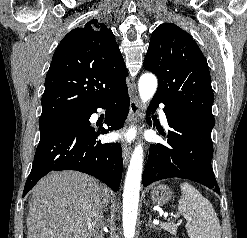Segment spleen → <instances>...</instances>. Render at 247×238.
<instances>
[{"label":"spleen","instance_id":"3e777b00","mask_svg":"<svg viewBox=\"0 0 247 238\" xmlns=\"http://www.w3.org/2000/svg\"><path fill=\"white\" fill-rule=\"evenodd\" d=\"M179 213L186 219L190 238H221V226L217 214L208 199L191 184L180 185Z\"/></svg>","mask_w":247,"mask_h":238}]
</instances>
